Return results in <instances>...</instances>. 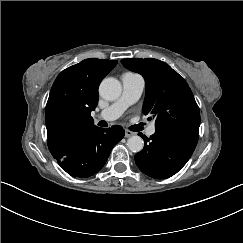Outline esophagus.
Segmentation results:
<instances>
[{
    "mask_svg": "<svg viewBox=\"0 0 243 243\" xmlns=\"http://www.w3.org/2000/svg\"><path fill=\"white\" fill-rule=\"evenodd\" d=\"M134 134H135L134 132H131V131H129V130H126V131H125V137H126V138H129V137H131V136H134Z\"/></svg>",
    "mask_w": 243,
    "mask_h": 243,
    "instance_id": "esophagus-1",
    "label": "esophagus"
}]
</instances>
